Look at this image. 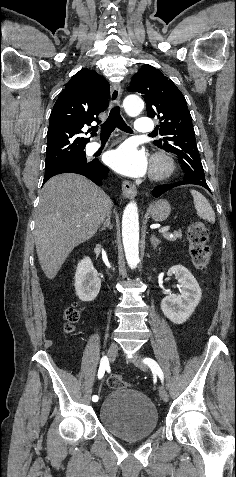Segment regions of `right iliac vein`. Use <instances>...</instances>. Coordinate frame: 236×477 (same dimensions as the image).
<instances>
[{"instance_id": "right-iliac-vein-1", "label": "right iliac vein", "mask_w": 236, "mask_h": 477, "mask_svg": "<svg viewBox=\"0 0 236 477\" xmlns=\"http://www.w3.org/2000/svg\"><path fill=\"white\" fill-rule=\"evenodd\" d=\"M117 352H118V346L115 342H111V344L109 345V348H108V357H109V360L110 361H113L117 355ZM103 385L101 384H98L96 386V393L98 396H100V389H103ZM103 399V398H100V400Z\"/></svg>"}]
</instances>
